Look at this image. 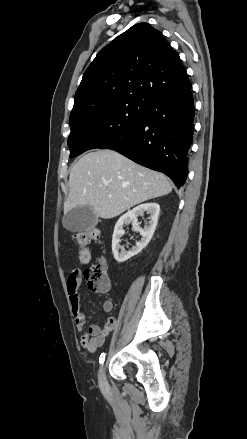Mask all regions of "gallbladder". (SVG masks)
Masks as SVG:
<instances>
[{
  "mask_svg": "<svg viewBox=\"0 0 247 439\" xmlns=\"http://www.w3.org/2000/svg\"><path fill=\"white\" fill-rule=\"evenodd\" d=\"M98 223V216L89 206L75 207L67 212L62 219L63 227L72 232L94 228Z\"/></svg>",
  "mask_w": 247,
  "mask_h": 439,
  "instance_id": "gallbladder-1",
  "label": "gallbladder"
}]
</instances>
